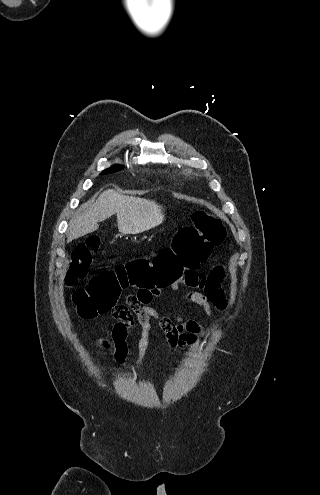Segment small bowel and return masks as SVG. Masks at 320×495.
Wrapping results in <instances>:
<instances>
[{
	"mask_svg": "<svg viewBox=\"0 0 320 495\" xmlns=\"http://www.w3.org/2000/svg\"><path fill=\"white\" fill-rule=\"evenodd\" d=\"M225 270L223 266H216L209 274L197 271H187L180 279L175 280L170 286L172 290H178L181 285L192 288L186 295V301L203 308L206 315H211V305L224 307L226 300L220 285L223 281ZM149 297L147 302L139 303L135 296L130 295L126 299V305L116 311L112 316L117 320L113 327L112 337L115 341L118 356H122L126 350L125 339L130 329L138 324L141 328V337L138 341V357L136 364L141 365L149 344V332L151 320L156 319L166 334L170 349H182L198 342L203 334L202 327L192 319L184 316L166 318L160 316L158 311L151 306V302L159 292L144 291Z\"/></svg>",
	"mask_w": 320,
	"mask_h": 495,
	"instance_id": "1",
	"label": "small bowel"
}]
</instances>
